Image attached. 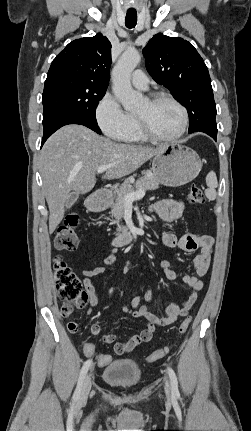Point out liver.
<instances>
[{"label": "liver", "mask_w": 251, "mask_h": 431, "mask_svg": "<svg viewBox=\"0 0 251 431\" xmlns=\"http://www.w3.org/2000/svg\"><path fill=\"white\" fill-rule=\"evenodd\" d=\"M164 148L117 143L82 125H66L56 131L40 152V173L50 212V234L64 218L69 196L86 194L94 188L100 166H110L103 179H120L136 171Z\"/></svg>", "instance_id": "liver-1"}]
</instances>
